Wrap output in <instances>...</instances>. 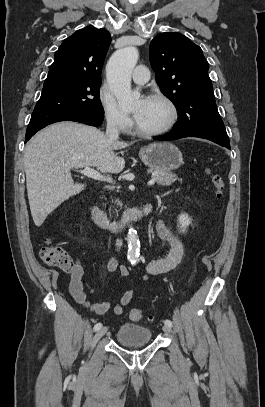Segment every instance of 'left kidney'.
<instances>
[{
  "mask_svg": "<svg viewBox=\"0 0 265 407\" xmlns=\"http://www.w3.org/2000/svg\"><path fill=\"white\" fill-rule=\"evenodd\" d=\"M181 232H185L186 228L191 224V218L187 214H181L178 218Z\"/></svg>",
  "mask_w": 265,
  "mask_h": 407,
  "instance_id": "1",
  "label": "left kidney"
}]
</instances>
